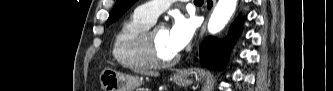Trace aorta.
<instances>
[{
    "label": "aorta",
    "mask_w": 333,
    "mask_h": 91,
    "mask_svg": "<svg viewBox=\"0 0 333 91\" xmlns=\"http://www.w3.org/2000/svg\"><path fill=\"white\" fill-rule=\"evenodd\" d=\"M237 5V0H218L208 22L211 34L220 32L230 20Z\"/></svg>",
    "instance_id": "obj_1"
}]
</instances>
